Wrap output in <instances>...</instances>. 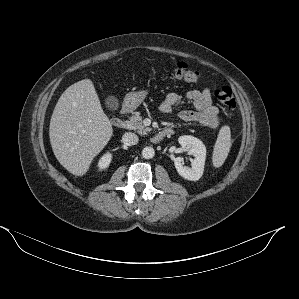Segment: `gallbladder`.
I'll return each instance as SVG.
<instances>
[{"mask_svg":"<svg viewBox=\"0 0 299 299\" xmlns=\"http://www.w3.org/2000/svg\"><path fill=\"white\" fill-rule=\"evenodd\" d=\"M105 105L109 110H116L119 107L117 97L110 95L105 99Z\"/></svg>","mask_w":299,"mask_h":299,"instance_id":"bac80fb5","label":"gallbladder"}]
</instances>
